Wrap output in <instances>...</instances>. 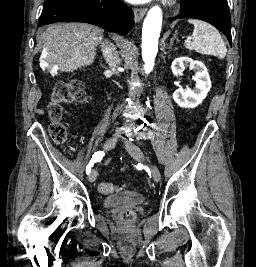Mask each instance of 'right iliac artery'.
<instances>
[{"label": "right iliac artery", "instance_id": "82829eb1", "mask_svg": "<svg viewBox=\"0 0 256 267\" xmlns=\"http://www.w3.org/2000/svg\"><path fill=\"white\" fill-rule=\"evenodd\" d=\"M104 155H105V153L103 151L95 152L92 155V158H91L89 164L86 166V173L87 174H89L91 172V167L94 165V163L100 161Z\"/></svg>", "mask_w": 256, "mask_h": 267}]
</instances>
